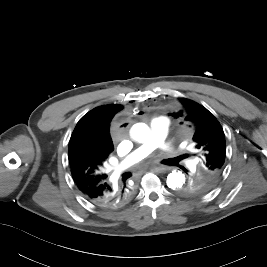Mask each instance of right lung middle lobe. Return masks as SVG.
Instances as JSON below:
<instances>
[{"label":"right lung middle lobe","instance_id":"obj_1","mask_svg":"<svg viewBox=\"0 0 267 267\" xmlns=\"http://www.w3.org/2000/svg\"><path fill=\"white\" fill-rule=\"evenodd\" d=\"M78 177L82 181H88L95 178L101 174V169L99 164L92 158L86 159L81 165H79Z\"/></svg>","mask_w":267,"mask_h":267}]
</instances>
